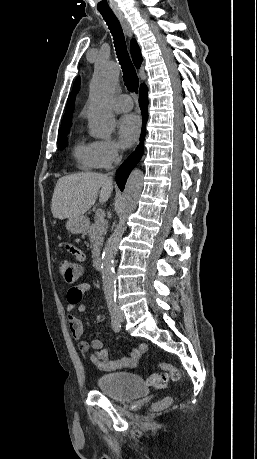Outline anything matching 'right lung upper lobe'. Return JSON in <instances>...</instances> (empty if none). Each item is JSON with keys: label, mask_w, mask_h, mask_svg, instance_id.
Segmentation results:
<instances>
[{"label": "right lung upper lobe", "mask_w": 257, "mask_h": 459, "mask_svg": "<svg viewBox=\"0 0 257 459\" xmlns=\"http://www.w3.org/2000/svg\"><path fill=\"white\" fill-rule=\"evenodd\" d=\"M131 48V55L133 62L137 68L140 67L142 63V56L139 46L137 45L135 40H132L130 43ZM74 110V102L69 98L67 104V110L65 112L64 118L61 123V128H59V132L62 130L69 129L71 127V119Z\"/></svg>", "instance_id": "1"}]
</instances>
